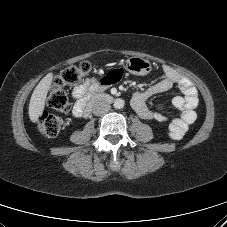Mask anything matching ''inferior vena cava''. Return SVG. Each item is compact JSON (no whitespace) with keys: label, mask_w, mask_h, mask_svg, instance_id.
I'll return each instance as SVG.
<instances>
[{"label":"inferior vena cava","mask_w":227,"mask_h":227,"mask_svg":"<svg viewBox=\"0 0 227 227\" xmlns=\"http://www.w3.org/2000/svg\"><path fill=\"white\" fill-rule=\"evenodd\" d=\"M110 109H111L110 104L103 101H99L96 102L93 106V114L96 116L104 115L108 113Z\"/></svg>","instance_id":"602c4592"}]
</instances>
